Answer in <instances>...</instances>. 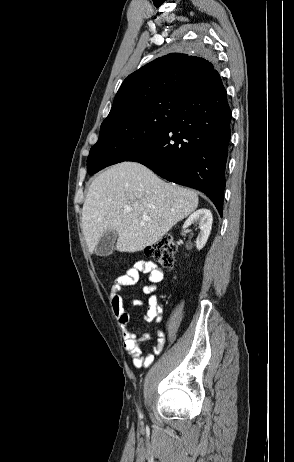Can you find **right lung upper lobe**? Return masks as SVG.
Returning a JSON list of instances; mask_svg holds the SVG:
<instances>
[{
	"label": "right lung upper lobe",
	"mask_w": 294,
	"mask_h": 462,
	"mask_svg": "<svg viewBox=\"0 0 294 462\" xmlns=\"http://www.w3.org/2000/svg\"><path fill=\"white\" fill-rule=\"evenodd\" d=\"M219 79L208 57L171 53L130 74L118 90L110 113L165 94L178 93L186 97Z\"/></svg>",
	"instance_id": "obj_1"
}]
</instances>
